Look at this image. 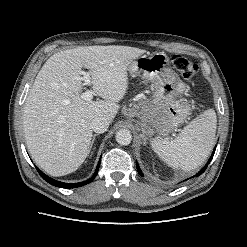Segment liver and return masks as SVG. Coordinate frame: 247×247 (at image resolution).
<instances>
[{"mask_svg": "<svg viewBox=\"0 0 247 247\" xmlns=\"http://www.w3.org/2000/svg\"><path fill=\"white\" fill-rule=\"evenodd\" d=\"M145 50L129 46H79L52 55L42 66L24 105L28 150L51 176L76 171L90 153L91 123H111L128 89V67ZM104 100H84L82 68Z\"/></svg>", "mask_w": 247, "mask_h": 247, "instance_id": "liver-1", "label": "liver"}]
</instances>
